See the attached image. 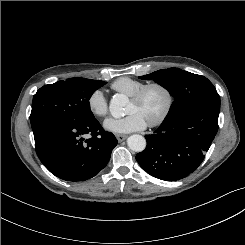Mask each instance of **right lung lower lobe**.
<instances>
[{"instance_id": "1", "label": "right lung lower lobe", "mask_w": 245, "mask_h": 245, "mask_svg": "<svg viewBox=\"0 0 245 245\" xmlns=\"http://www.w3.org/2000/svg\"><path fill=\"white\" fill-rule=\"evenodd\" d=\"M32 129L36 153L42 164L60 179L73 182L98 174L118 143L97 119L77 123L46 119ZM86 134L91 138L84 140Z\"/></svg>"}]
</instances>
